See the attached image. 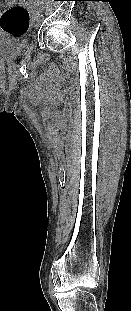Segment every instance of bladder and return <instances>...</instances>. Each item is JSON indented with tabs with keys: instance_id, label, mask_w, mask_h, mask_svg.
Listing matches in <instances>:
<instances>
[{
	"instance_id": "31cf9c89",
	"label": "bladder",
	"mask_w": 131,
	"mask_h": 311,
	"mask_svg": "<svg viewBox=\"0 0 131 311\" xmlns=\"http://www.w3.org/2000/svg\"><path fill=\"white\" fill-rule=\"evenodd\" d=\"M26 49V42L4 40L0 38V59H12Z\"/></svg>"
}]
</instances>
